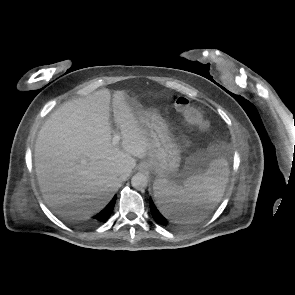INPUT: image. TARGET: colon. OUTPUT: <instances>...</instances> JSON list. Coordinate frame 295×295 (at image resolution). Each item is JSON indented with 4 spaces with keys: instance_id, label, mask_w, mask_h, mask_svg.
<instances>
[{
    "instance_id": "5ec220e1",
    "label": "colon",
    "mask_w": 295,
    "mask_h": 295,
    "mask_svg": "<svg viewBox=\"0 0 295 295\" xmlns=\"http://www.w3.org/2000/svg\"><path fill=\"white\" fill-rule=\"evenodd\" d=\"M173 103L175 109L186 124L196 126L201 130L208 128L209 123L205 119L202 110L189 99L176 95L173 97Z\"/></svg>"
}]
</instances>
